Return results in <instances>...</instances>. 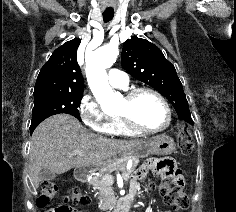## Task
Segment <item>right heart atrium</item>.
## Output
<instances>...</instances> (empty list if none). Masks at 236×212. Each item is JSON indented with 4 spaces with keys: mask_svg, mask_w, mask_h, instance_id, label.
Returning a JSON list of instances; mask_svg holds the SVG:
<instances>
[{
    "mask_svg": "<svg viewBox=\"0 0 236 212\" xmlns=\"http://www.w3.org/2000/svg\"><path fill=\"white\" fill-rule=\"evenodd\" d=\"M79 114L82 121L92 130L106 133L110 117L101 110L98 102L91 95L86 94L82 97Z\"/></svg>",
    "mask_w": 236,
    "mask_h": 212,
    "instance_id": "obj_1",
    "label": "right heart atrium"
}]
</instances>
